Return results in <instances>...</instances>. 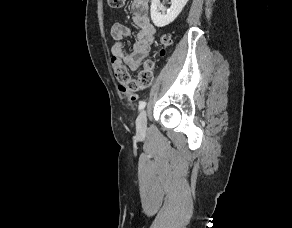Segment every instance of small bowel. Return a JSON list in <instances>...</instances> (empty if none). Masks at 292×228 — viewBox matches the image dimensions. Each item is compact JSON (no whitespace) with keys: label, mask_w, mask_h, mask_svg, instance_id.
Masks as SVG:
<instances>
[{"label":"small bowel","mask_w":292,"mask_h":228,"mask_svg":"<svg viewBox=\"0 0 292 228\" xmlns=\"http://www.w3.org/2000/svg\"><path fill=\"white\" fill-rule=\"evenodd\" d=\"M132 22L138 29L131 51L125 49L123 40L131 34V29L124 23L116 22L111 28V35L116 41L111 48L112 65L124 66L128 71L138 69L155 40L156 28L149 17V0H132Z\"/></svg>","instance_id":"c3829d8e"}]
</instances>
